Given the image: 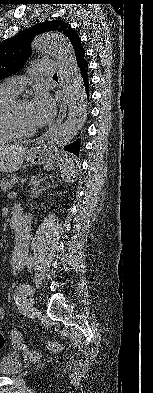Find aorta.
<instances>
[{
	"label": "aorta",
	"instance_id": "aorta-1",
	"mask_svg": "<svg viewBox=\"0 0 153 393\" xmlns=\"http://www.w3.org/2000/svg\"><path fill=\"white\" fill-rule=\"evenodd\" d=\"M37 55L49 53L58 63V77L67 102L68 119L58 127L47 131L46 141L51 145H62L70 141L82 128L87 112L86 92L75 57V51L68 40L59 33H43L32 43ZM32 216L25 213L18 220L15 228V245L17 249L12 256L13 268L21 271L28 262V251L32 238L30 236Z\"/></svg>",
	"mask_w": 153,
	"mask_h": 393
}]
</instances>
